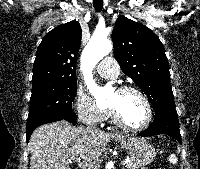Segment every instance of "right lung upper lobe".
Instances as JSON below:
<instances>
[{
    "label": "right lung upper lobe",
    "mask_w": 200,
    "mask_h": 169,
    "mask_svg": "<svg viewBox=\"0 0 200 169\" xmlns=\"http://www.w3.org/2000/svg\"><path fill=\"white\" fill-rule=\"evenodd\" d=\"M81 36V26L74 20L55 27L42 39L33 65L32 89L77 80Z\"/></svg>",
    "instance_id": "1"
}]
</instances>
